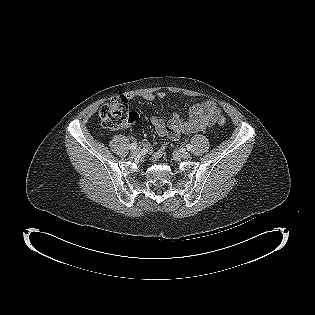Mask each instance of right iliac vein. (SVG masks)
<instances>
[{"instance_id": "obj_1", "label": "right iliac vein", "mask_w": 315, "mask_h": 315, "mask_svg": "<svg viewBox=\"0 0 315 315\" xmlns=\"http://www.w3.org/2000/svg\"><path fill=\"white\" fill-rule=\"evenodd\" d=\"M141 150L139 148L132 151V157H137L140 154Z\"/></svg>"}]
</instances>
